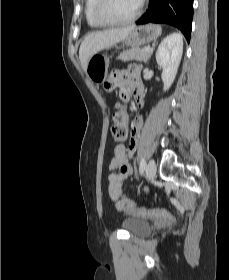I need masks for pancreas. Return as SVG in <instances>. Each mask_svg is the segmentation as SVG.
I'll return each mask as SVG.
<instances>
[{"label":"pancreas","mask_w":229,"mask_h":280,"mask_svg":"<svg viewBox=\"0 0 229 280\" xmlns=\"http://www.w3.org/2000/svg\"><path fill=\"white\" fill-rule=\"evenodd\" d=\"M152 52H146L145 48L133 47L129 50H125L118 56V59L122 61H143L147 62L151 57Z\"/></svg>","instance_id":"obj_1"}]
</instances>
